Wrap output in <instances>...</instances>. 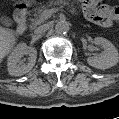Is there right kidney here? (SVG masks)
Returning <instances> with one entry per match:
<instances>
[{
  "label": "right kidney",
  "mask_w": 119,
  "mask_h": 119,
  "mask_svg": "<svg viewBox=\"0 0 119 119\" xmlns=\"http://www.w3.org/2000/svg\"><path fill=\"white\" fill-rule=\"evenodd\" d=\"M28 54V63H23L21 58ZM37 51L34 48H28L26 43H19L8 56L7 66L11 76H22L28 73L35 65Z\"/></svg>",
  "instance_id": "obj_1"
}]
</instances>
